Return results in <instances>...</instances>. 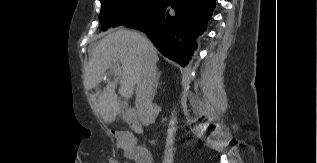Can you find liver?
<instances>
[{
    "label": "liver",
    "instance_id": "6515ba94",
    "mask_svg": "<svg viewBox=\"0 0 317 163\" xmlns=\"http://www.w3.org/2000/svg\"><path fill=\"white\" fill-rule=\"evenodd\" d=\"M149 43V52L155 61L158 60L155 47L140 33L129 30H117L107 34L92 51L84 73V87L87 91L96 87L104 78L106 70L111 63H121V78L119 80V95L125 100L134 94L135 85L138 83L141 70L145 63ZM118 79L109 81L102 92L90 95L94 109L99 113L105 123L115 121L120 112L117 101L116 88ZM127 105V103L125 102Z\"/></svg>",
    "mask_w": 317,
    "mask_h": 163
}]
</instances>
